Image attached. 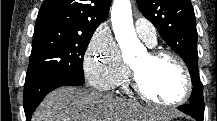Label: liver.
I'll return each mask as SVG.
<instances>
[{
    "instance_id": "liver-1",
    "label": "liver",
    "mask_w": 217,
    "mask_h": 121,
    "mask_svg": "<svg viewBox=\"0 0 217 121\" xmlns=\"http://www.w3.org/2000/svg\"><path fill=\"white\" fill-rule=\"evenodd\" d=\"M153 119L150 110L132 100L76 87H60L53 90L44 98L32 116V121H151Z\"/></svg>"
}]
</instances>
